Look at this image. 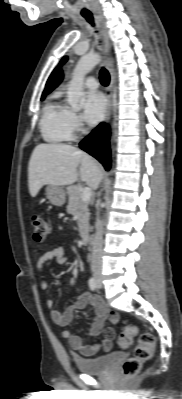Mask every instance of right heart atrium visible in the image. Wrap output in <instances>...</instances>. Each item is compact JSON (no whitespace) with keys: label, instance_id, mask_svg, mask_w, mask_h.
Masks as SVG:
<instances>
[{"label":"right heart atrium","instance_id":"right-heart-atrium-1","mask_svg":"<svg viewBox=\"0 0 182 399\" xmlns=\"http://www.w3.org/2000/svg\"><path fill=\"white\" fill-rule=\"evenodd\" d=\"M69 123H70V127L72 129V132L78 133L81 131L82 121H81L80 116L76 112L70 111Z\"/></svg>","mask_w":182,"mask_h":399}]
</instances>
